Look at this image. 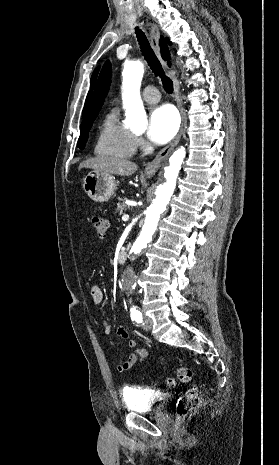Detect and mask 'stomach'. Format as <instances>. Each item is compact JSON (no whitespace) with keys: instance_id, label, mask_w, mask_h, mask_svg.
Returning <instances> with one entry per match:
<instances>
[{"instance_id":"1","label":"stomach","mask_w":279,"mask_h":465,"mask_svg":"<svg viewBox=\"0 0 279 465\" xmlns=\"http://www.w3.org/2000/svg\"><path fill=\"white\" fill-rule=\"evenodd\" d=\"M85 193L95 202H106L116 189L115 178L110 174L89 172L83 179Z\"/></svg>"}]
</instances>
